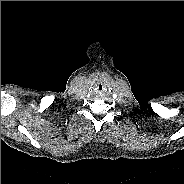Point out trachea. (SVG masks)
<instances>
[{
    "instance_id": "trachea-1",
    "label": "trachea",
    "mask_w": 184,
    "mask_h": 184,
    "mask_svg": "<svg viewBox=\"0 0 184 184\" xmlns=\"http://www.w3.org/2000/svg\"><path fill=\"white\" fill-rule=\"evenodd\" d=\"M94 88L97 92H102L105 89V84L103 81L99 80L95 83Z\"/></svg>"
}]
</instances>
